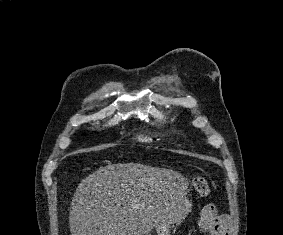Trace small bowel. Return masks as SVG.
Here are the masks:
<instances>
[{"label":"small bowel","instance_id":"small-bowel-1","mask_svg":"<svg viewBox=\"0 0 283 235\" xmlns=\"http://www.w3.org/2000/svg\"><path fill=\"white\" fill-rule=\"evenodd\" d=\"M200 225L208 235H226L228 221L217 213L214 205L207 204L201 210Z\"/></svg>","mask_w":283,"mask_h":235}]
</instances>
